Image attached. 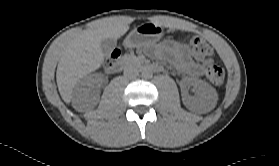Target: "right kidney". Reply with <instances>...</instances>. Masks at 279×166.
<instances>
[{
  "mask_svg": "<svg viewBox=\"0 0 279 166\" xmlns=\"http://www.w3.org/2000/svg\"><path fill=\"white\" fill-rule=\"evenodd\" d=\"M101 77L88 76L79 81L74 90L75 100L85 106L94 97L97 89L100 87Z\"/></svg>",
  "mask_w": 279,
  "mask_h": 166,
  "instance_id": "obj_1",
  "label": "right kidney"
}]
</instances>
